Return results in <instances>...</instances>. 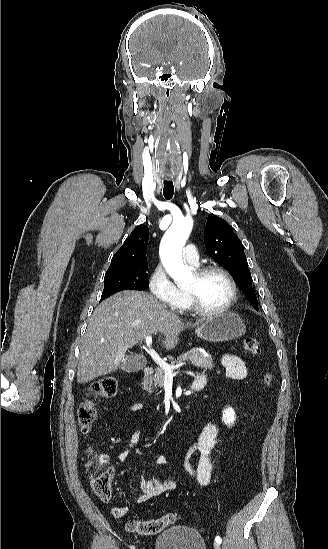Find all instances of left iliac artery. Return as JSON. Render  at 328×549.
<instances>
[{"mask_svg": "<svg viewBox=\"0 0 328 549\" xmlns=\"http://www.w3.org/2000/svg\"><path fill=\"white\" fill-rule=\"evenodd\" d=\"M215 541H216L218 544H221L222 539H221L219 536H216Z\"/></svg>", "mask_w": 328, "mask_h": 549, "instance_id": "44dca946", "label": "left iliac artery"}]
</instances>
